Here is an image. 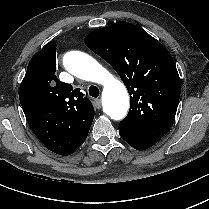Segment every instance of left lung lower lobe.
<instances>
[{
    "label": "left lung lower lobe",
    "mask_w": 209,
    "mask_h": 209,
    "mask_svg": "<svg viewBox=\"0 0 209 209\" xmlns=\"http://www.w3.org/2000/svg\"><path fill=\"white\" fill-rule=\"evenodd\" d=\"M120 136L133 148L137 150H145L150 148L155 143L140 137L137 133L128 129L119 127Z\"/></svg>",
    "instance_id": "left-lung-lower-lobe-1"
}]
</instances>
